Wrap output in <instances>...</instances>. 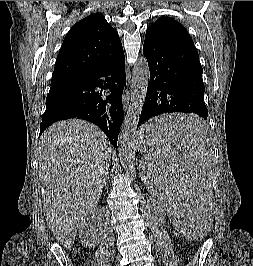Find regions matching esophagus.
<instances>
[{
  "instance_id": "obj_1",
  "label": "esophagus",
  "mask_w": 253,
  "mask_h": 266,
  "mask_svg": "<svg viewBox=\"0 0 253 266\" xmlns=\"http://www.w3.org/2000/svg\"><path fill=\"white\" fill-rule=\"evenodd\" d=\"M130 90L126 88L123 93V105H124V110L126 111L130 102Z\"/></svg>"
}]
</instances>
